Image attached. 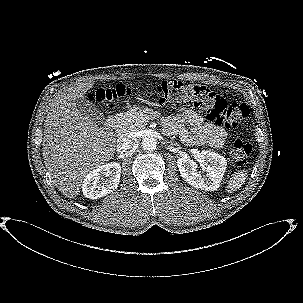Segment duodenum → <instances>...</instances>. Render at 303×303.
I'll return each mask as SVG.
<instances>
[{
    "label": "duodenum",
    "instance_id": "duodenum-1",
    "mask_svg": "<svg viewBox=\"0 0 303 303\" xmlns=\"http://www.w3.org/2000/svg\"><path fill=\"white\" fill-rule=\"evenodd\" d=\"M116 125V118L112 117L108 120L107 126L108 127H114Z\"/></svg>",
    "mask_w": 303,
    "mask_h": 303
}]
</instances>
